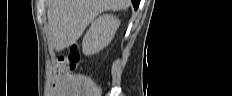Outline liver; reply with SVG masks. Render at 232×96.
<instances>
[{
	"label": "liver",
	"mask_w": 232,
	"mask_h": 96,
	"mask_svg": "<svg viewBox=\"0 0 232 96\" xmlns=\"http://www.w3.org/2000/svg\"><path fill=\"white\" fill-rule=\"evenodd\" d=\"M130 0H48V24L56 51L74 44L100 13L128 8Z\"/></svg>",
	"instance_id": "liver-1"
}]
</instances>
